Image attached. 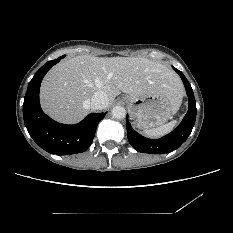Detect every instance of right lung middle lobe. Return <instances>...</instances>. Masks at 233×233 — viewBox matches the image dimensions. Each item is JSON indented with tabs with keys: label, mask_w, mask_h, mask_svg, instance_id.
Wrapping results in <instances>:
<instances>
[{
	"label": "right lung middle lobe",
	"mask_w": 233,
	"mask_h": 233,
	"mask_svg": "<svg viewBox=\"0 0 233 233\" xmlns=\"http://www.w3.org/2000/svg\"><path fill=\"white\" fill-rule=\"evenodd\" d=\"M65 57V55L64 56H61V57H59L60 59H62V58H64Z\"/></svg>",
	"instance_id": "dd1d6c3e"
}]
</instances>
